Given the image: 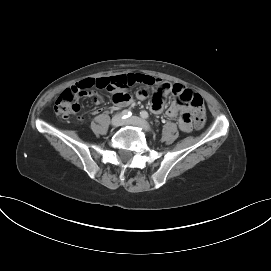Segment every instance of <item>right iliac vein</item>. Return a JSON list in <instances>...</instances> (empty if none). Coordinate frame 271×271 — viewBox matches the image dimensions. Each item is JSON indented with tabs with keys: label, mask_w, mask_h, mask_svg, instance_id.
Here are the masks:
<instances>
[{
	"label": "right iliac vein",
	"mask_w": 271,
	"mask_h": 271,
	"mask_svg": "<svg viewBox=\"0 0 271 271\" xmlns=\"http://www.w3.org/2000/svg\"><path fill=\"white\" fill-rule=\"evenodd\" d=\"M123 124L122 116L117 114L111 120V125L114 127L121 126Z\"/></svg>",
	"instance_id": "1"
}]
</instances>
